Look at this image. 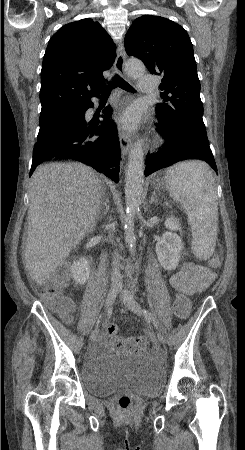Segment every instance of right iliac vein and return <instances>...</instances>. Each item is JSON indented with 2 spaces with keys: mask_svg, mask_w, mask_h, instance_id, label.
Masks as SVG:
<instances>
[{
  "mask_svg": "<svg viewBox=\"0 0 245 450\" xmlns=\"http://www.w3.org/2000/svg\"><path fill=\"white\" fill-rule=\"evenodd\" d=\"M118 291H119V286L111 285V287L109 289V292H108V295H107V298H106V302H105V309L106 310H108L112 306V304L114 303ZM97 334H98V328H95L92 331L91 335H90V340L91 341H95L96 338H97Z\"/></svg>",
  "mask_w": 245,
  "mask_h": 450,
  "instance_id": "1",
  "label": "right iliac vein"
}]
</instances>
